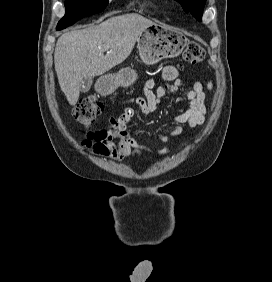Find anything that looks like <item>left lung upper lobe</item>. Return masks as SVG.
Listing matches in <instances>:
<instances>
[{
	"label": "left lung upper lobe",
	"mask_w": 272,
	"mask_h": 282,
	"mask_svg": "<svg viewBox=\"0 0 272 282\" xmlns=\"http://www.w3.org/2000/svg\"><path fill=\"white\" fill-rule=\"evenodd\" d=\"M180 2L185 12H190L197 20H202L206 0H176Z\"/></svg>",
	"instance_id": "obj_1"
}]
</instances>
